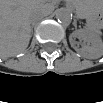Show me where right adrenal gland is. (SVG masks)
Instances as JSON below:
<instances>
[{
	"instance_id": "2a0ac1e0",
	"label": "right adrenal gland",
	"mask_w": 103,
	"mask_h": 103,
	"mask_svg": "<svg viewBox=\"0 0 103 103\" xmlns=\"http://www.w3.org/2000/svg\"><path fill=\"white\" fill-rule=\"evenodd\" d=\"M31 30L33 31V26L31 27Z\"/></svg>"
}]
</instances>
